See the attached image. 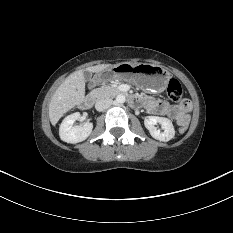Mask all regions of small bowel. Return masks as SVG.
<instances>
[{
    "instance_id": "1",
    "label": "small bowel",
    "mask_w": 233,
    "mask_h": 233,
    "mask_svg": "<svg viewBox=\"0 0 233 233\" xmlns=\"http://www.w3.org/2000/svg\"><path fill=\"white\" fill-rule=\"evenodd\" d=\"M144 107L151 114L168 116L180 126L183 122L189 120L188 113L191 104L184 101L179 105H171L160 99H147L144 101Z\"/></svg>"
}]
</instances>
